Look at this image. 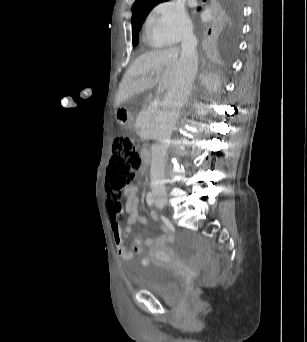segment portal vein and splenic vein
Returning <instances> with one entry per match:
<instances>
[{"label":"portal vein and splenic vein","mask_w":307,"mask_h":342,"mask_svg":"<svg viewBox=\"0 0 307 342\" xmlns=\"http://www.w3.org/2000/svg\"><path fill=\"white\" fill-rule=\"evenodd\" d=\"M151 76H154V72H151ZM148 107L152 111L153 109H160L161 104L160 102H149ZM148 115H151V112H148Z\"/></svg>","instance_id":"obj_1"}]
</instances>
